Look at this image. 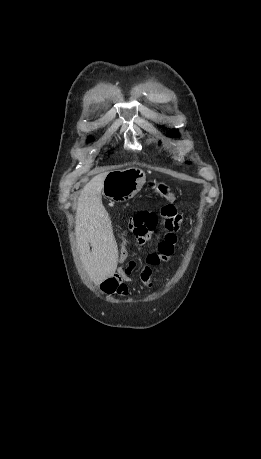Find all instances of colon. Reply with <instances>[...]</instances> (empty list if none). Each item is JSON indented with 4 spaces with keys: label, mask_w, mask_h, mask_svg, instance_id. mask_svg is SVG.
<instances>
[{
    "label": "colon",
    "mask_w": 261,
    "mask_h": 459,
    "mask_svg": "<svg viewBox=\"0 0 261 459\" xmlns=\"http://www.w3.org/2000/svg\"><path fill=\"white\" fill-rule=\"evenodd\" d=\"M148 189L156 196L160 197L164 204L161 207V220L162 223L158 224V216L153 211H141L133 216L129 222V228L137 234H145L154 231L156 227L161 233H165L167 238H176L178 235V228L181 225L182 217L177 213L175 202L176 196L171 191L170 187L164 183L151 182ZM129 230L124 228L122 235L118 242L120 245L117 247L119 256L124 261L131 259L129 252Z\"/></svg>",
    "instance_id": "colon-1"
}]
</instances>
